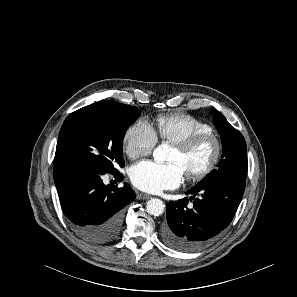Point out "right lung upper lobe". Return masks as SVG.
Masks as SVG:
<instances>
[{
    "label": "right lung upper lobe",
    "instance_id": "1",
    "mask_svg": "<svg viewBox=\"0 0 297 297\" xmlns=\"http://www.w3.org/2000/svg\"><path fill=\"white\" fill-rule=\"evenodd\" d=\"M116 101H99L92 105L86 107H95V108H111L115 105Z\"/></svg>",
    "mask_w": 297,
    "mask_h": 297
}]
</instances>
